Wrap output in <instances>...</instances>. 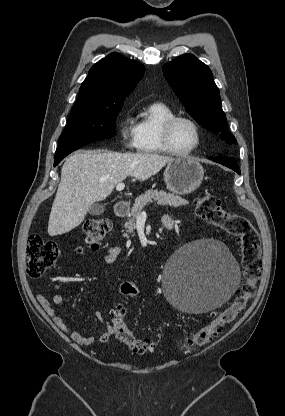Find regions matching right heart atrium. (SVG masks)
<instances>
[{
  "label": "right heart atrium",
  "instance_id": "1",
  "mask_svg": "<svg viewBox=\"0 0 285 416\" xmlns=\"http://www.w3.org/2000/svg\"><path fill=\"white\" fill-rule=\"evenodd\" d=\"M120 135L125 148L129 150L138 149L139 138L136 130V121L131 112H126L123 115Z\"/></svg>",
  "mask_w": 285,
  "mask_h": 416
}]
</instances>
